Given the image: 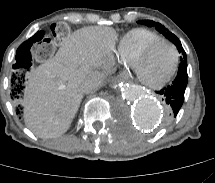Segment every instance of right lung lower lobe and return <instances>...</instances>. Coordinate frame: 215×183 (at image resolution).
Wrapping results in <instances>:
<instances>
[{
	"instance_id": "1",
	"label": "right lung lower lobe",
	"mask_w": 215,
	"mask_h": 183,
	"mask_svg": "<svg viewBox=\"0 0 215 183\" xmlns=\"http://www.w3.org/2000/svg\"><path fill=\"white\" fill-rule=\"evenodd\" d=\"M21 90H22V85L20 82L19 83L17 82L16 85H14V88L12 89V93L15 97H19L18 95L21 92Z\"/></svg>"
}]
</instances>
